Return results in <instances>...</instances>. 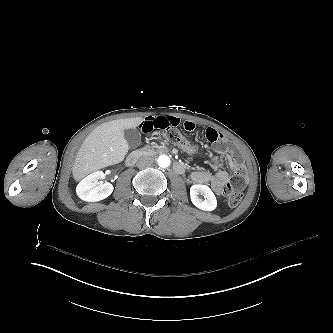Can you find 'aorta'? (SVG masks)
<instances>
[{
	"label": "aorta",
	"mask_w": 333,
	"mask_h": 333,
	"mask_svg": "<svg viewBox=\"0 0 333 333\" xmlns=\"http://www.w3.org/2000/svg\"><path fill=\"white\" fill-rule=\"evenodd\" d=\"M158 165L161 168H167L170 165V158L166 155H161L158 158Z\"/></svg>",
	"instance_id": "1"
}]
</instances>
